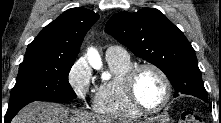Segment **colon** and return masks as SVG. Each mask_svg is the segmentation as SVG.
Segmentation results:
<instances>
[{
    "label": "colon",
    "instance_id": "colon-1",
    "mask_svg": "<svg viewBox=\"0 0 221 123\" xmlns=\"http://www.w3.org/2000/svg\"><path fill=\"white\" fill-rule=\"evenodd\" d=\"M202 122L203 121L201 117L192 111H183L179 119V123H202Z\"/></svg>",
    "mask_w": 221,
    "mask_h": 123
}]
</instances>
